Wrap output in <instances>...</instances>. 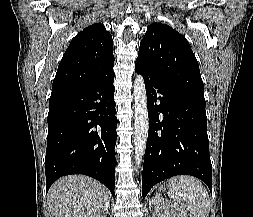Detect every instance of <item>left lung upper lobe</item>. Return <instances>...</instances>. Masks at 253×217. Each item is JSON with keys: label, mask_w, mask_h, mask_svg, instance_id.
<instances>
[{"label": "left lung upper lobe", "mask_w": 253, "mask_h": 217, "mask_svg": "<svg viewBox=\"0 0 253 217\" xmlns=\"http://www.w3.org/2000/svg\"><path fill=\"white\" fill-rule=\"evenodd\" d=\"M156 78L204 98L199 65L184 36L162 23H152L140 43L136 59Z\"/></svg>", "instance_id": "left-lung-upper-lobe-1"}]
</instances>
